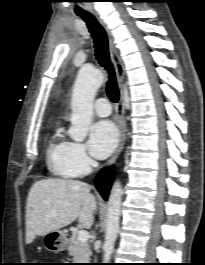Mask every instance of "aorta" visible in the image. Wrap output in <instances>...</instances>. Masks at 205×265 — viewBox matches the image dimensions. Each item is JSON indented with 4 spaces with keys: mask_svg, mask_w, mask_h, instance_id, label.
Here are the masks:
<instances>
[{
    "mask_svg": "<svg viewBox=\"0 0 205 265\" xmlns=\"http://www.w3.org/2000/svg\"><path fill=\"white\" fill-rule=\"evenodd\" d=\"M103 80L102 72L95 68L82 67L78 73L71 98L72 126L68 131L70 138L77 142L83 141L87 136L93 116V101ZM122 194L120 182H115L107 208V224L103 245L104 263H109L111 260L119 232Z\"/></svg>",
    "mask_w": 205,
    "mask_h": 265,
    "instance_id": "aorta-1",
    "label": "aorta"
}]
</instances>
